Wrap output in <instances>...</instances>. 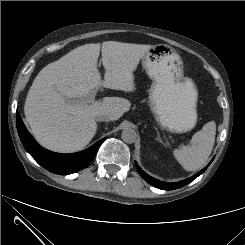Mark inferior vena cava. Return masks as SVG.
I'll return each mask as SVG.
<instances>
[{"label": "inferior vena cava", "mask_w": 245, "mask_h": 245, "mask_svg": "<svg viewBox=\"0 0 245 245\" xmlns=\"http://www.w3.org/2000/svg\"><path fill=\"white\" fill-rule=\"evenodd\" d=\"M95 119H96V121H105V122L110 121L109 116L104 115V114L97 115Z\"/></svg>", "instance_id": "602c4592"}]
</instances>
